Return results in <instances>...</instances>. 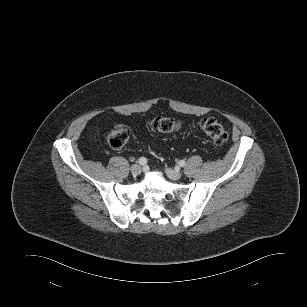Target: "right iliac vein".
Returning <instances> with one entry per match:
<instances>
[{"label": "right iliac vein", "mask_w": 307, "mask_h": 307, "mask_svg": "<svg viewBox=\"0 0 307 307\" xmlns=\"http://www.w3.org/2000/svg\"><path fill=\"white\" fill-rule=\"evenodd\" d=\"M141 170V166L138 164H134L130 167V171L133 176L139 175L141 173Z\"/></svg>", "instance_id": "right-iliac-vein-1"}]
</instances>
